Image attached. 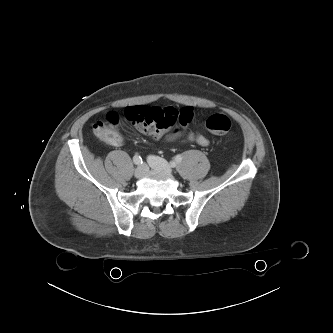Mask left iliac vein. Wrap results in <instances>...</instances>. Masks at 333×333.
<instances>
[{
    "mask_svg": "<svg viewBox=\"0 0 333 333\" xmlns=\"http://www.w3.org/2000/svg\"><path fill=\"white\" fill-rule=\"evenodd\" d=\"M148 163H149L150 167L153 168V169H155V170H161V171H164L167 174H171L172 173V168L162 158L155 157V156H150L148 158Z\"/></svg>",
    "mask_w": 333,
    "mask_h": 333,
    "instance_id": "left-iliac-vein-1",
    "label": "left iliac vein"
}]
</instances>
